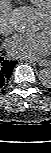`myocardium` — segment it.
<instances>
[{
    "mask_svg": "<svg viewBox=\"0 0 51 153\" xmlns=\"http://www.w3.org/2000/svg\"><path fill=\"white\" fill-rule=\"evenodd\" d=\"M42 16L48 18L51 20V7L45 11L42 12Z\"/></svg>",
    "mask_w": 51,
    "mask_h": 153,
    "instance_id": "obj_1",
    "label": "myocardium"
}]
</instances>
